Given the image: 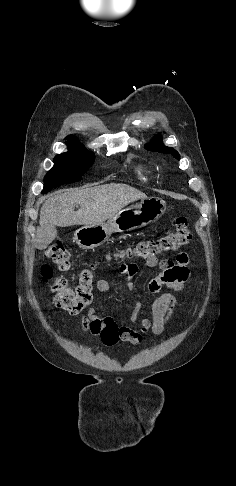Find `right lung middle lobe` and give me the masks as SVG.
Instances as JSON below:
<instances>
[{"mask_svg": "<svg viewBox=\"0 0 236 486\" xmlns=\"http://www.w3.org/2000/svg\"><path fill=\"white\" fill-rule=\"evenodd\" d=\"M66 144L68 151L55 156L54 166L46 175L42 194L59 185L79 181L94 162V153L87 151L82 144Z\"/></svg>", "mask_w": 236, "mask_h": 486, "instance_id": "dd1d6c3e", "label": "right lung middle lobe"}]
</instances>
